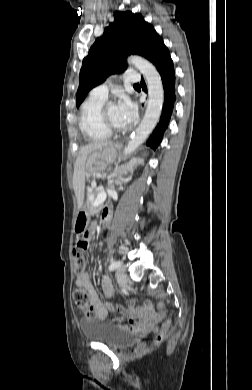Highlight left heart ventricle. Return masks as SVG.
I'll return each mask as SVG.
<instances>
[{
    "label": "left heart ventricle",
    "instance_id": "1",
    "mask_svg": "<svg viewBox=\"0 0 252 390\" xmlns=\"http://www.w3.org/2000/svg\"><path fill=\"white\" fill-rule=\"evenodd\" d=\"M109 122L116 128H124L126 124L121 119L118 107L115 104H110L106 110Z\"/></svg>",
    "mask_w": 252,
    "mask_h": 390
}]
</instances>
